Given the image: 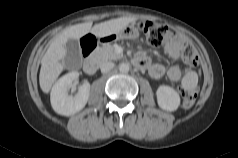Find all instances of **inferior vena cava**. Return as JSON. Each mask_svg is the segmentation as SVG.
Listing matches in <instances>:
<instances>
[{"instance_id": "1", "label": "inferior vena cava", "mask_w": 238, "mask_h": 158, "mask_svg": "<svg viewBox=\"0 0 238 158\" xmlns=\"http://www.w3.org/2000/svg\"><path fill=\"white\" fill-rule=\"evenodd\" d=\"M113 68H114V63L113 62L103 63L100 67L102 73H108Z\"/></svg>"}]
</instances>
